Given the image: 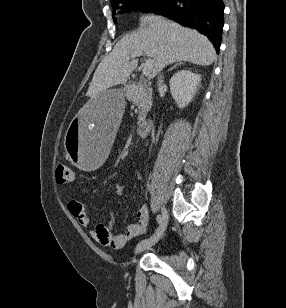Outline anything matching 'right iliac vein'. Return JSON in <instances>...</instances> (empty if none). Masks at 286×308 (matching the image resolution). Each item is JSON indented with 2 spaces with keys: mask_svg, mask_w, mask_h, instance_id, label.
<instances>
[{
  "mask_svg": "<svg viewBox=\"0 0 286 308\" xmlns=\"http://www.w3.org/2000/svg\"><path fill=\"white\" fill-rule=\"evenodd\" d=\"M168 224V213L166 211L165 208H162V214H161V223L159 224L158 229L156 230V232L148 239L140 242L134 250L135 254H139L141 252H143L144 250H147L149 248H151L152 246H154L159 239L161 238V236L163 235L166 227Z\"/></svg>",
  "mask_w": 286,
  "mask_h": 308,
  "instance_id": "63e3f726",
  "label": "right iliac vein"
}]
</instances>
